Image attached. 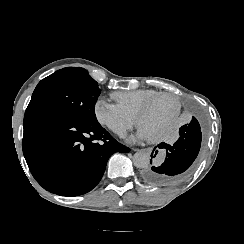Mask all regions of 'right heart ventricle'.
Masks as SVG:
<instances>
[{"label": "right heart ventricle", "mask_w": 244, "mask_h": 244, "mask_svg": "<svg viewBox=\"0 0 244 244\" xmlns=\"http://www.w3.org/2000/svg\"><path fill=\"white\" fill-rule=\"evenodd\" d=\"M121 92H113L110 94L111 99L115 100L118 104L124 106L133 114L138 116L142 106L148 102L151 98H155L157 95L160 96L162 93L149 90V89H142V90H126ZM155 100V99H154ZM155 102V101H154ZM161 102V100L159 101ZM156 103V102H155ZM149 133L155 134L152 130L145 128Z\"/></svg>", "instance_id": "obj_1"}]
</instances>
